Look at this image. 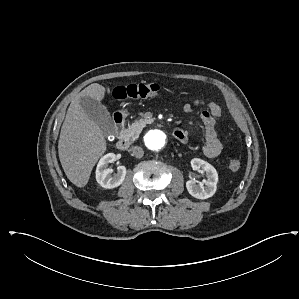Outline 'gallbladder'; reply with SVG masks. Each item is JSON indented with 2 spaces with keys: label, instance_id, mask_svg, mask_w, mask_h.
Instances as JSON below:
<instances>
[{
  "label": "gallbladder",
  "instance_id": "obj_1",
  "mask_svg": "<svg viewBox=\"0 0 299 299\" xmlns=\"http://www.w3.org/2000/svg\"><path fill=\"white\" fill-rule=\"evenodd\" d=\"M80 105L87 116L93 120L101 130L108 134L114 129V123L107 108L96 99L80 98Z\"/></svg>",
  "mask_w": 299,
  "mask_h": 299
}]
</instances>
